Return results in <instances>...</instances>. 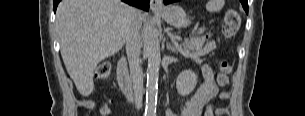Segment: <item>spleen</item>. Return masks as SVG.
I'll list each match as a JSON object with an SVG mask.
<instances>
[{
	"mask_svg": "<svg viewBox=\"0 0 305 116\" xmlns=\"http://www.w3.org/2000/svg\"><path fill=\"white\" fill-rule=\"evenodd\" d=\"M224 5V1L223 0H210L207 3V10L210 12H218L222 9Z\"/></svg>",
	"mask_w": 305,
	"mask_h": 116,
	"instance_id": "3e777b00",
	"label": "spleen"
}]
</instances>
